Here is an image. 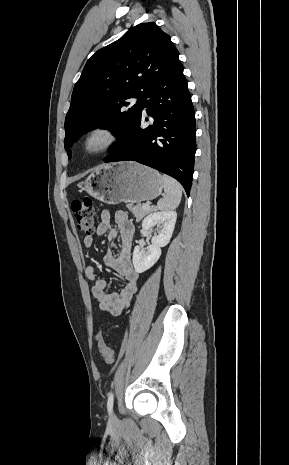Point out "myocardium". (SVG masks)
I'll return each mask as SVG.
<instances>
[{
    "label": "myocardium",
    "mask_w": 289,
    "mask_h": 465,
    "mask_svg": "<svg viewBox=\"0 0 289 465\" xmlns=\"http://www.w3.org/2000/svg\"><path fill=\"white\" fill-rule=\"evenodd\" d=\"M94 139H99L96 145H92ZM119 139V132L114 125L104 121L95 122L82 134L79 143L80 150L88 156L98 155L112 149Z\"/></svg>",
    "instance_id": "myocardium-1"
}]
</instances>
